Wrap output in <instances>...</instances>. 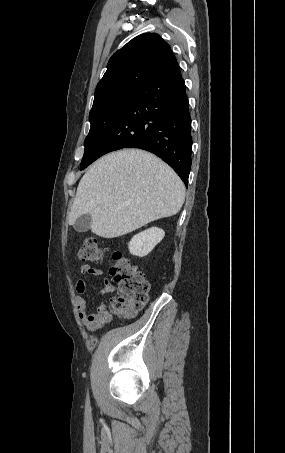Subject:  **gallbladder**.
Returning a JSON list of instances; mask_svg holds the SVG:
<instances>
[{
  "label": "gallbladder",
  "mask_w": 285,
  "mask_h": 453,
  "mask_svg": "<svg viewBox=\"0 0 285 453\" xmlns=\"http://www.w3.org/2000/svg\"><path fill=\"white\" fill-rule=\"evenodd\" d=\"M92 218L89 214L81 215L75 221L73 227L77 232H86L90 229Z\"/></svg>",
  "instance_id": "obj_1"
}]
</instances>
